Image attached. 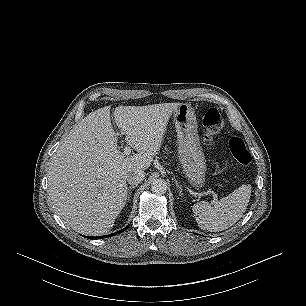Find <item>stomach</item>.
Segmentation results:
<instances>
[{"label":"stomach","mask_w":306,"mask_h":306,"mask_svg":"<svg viewBox=\"0 0 306 306\" xmlns=\"http://www.w3.org/2000/svg\"><path fill=\"white\" fill-rule=\"evenodd\" d=\"M178 157L185 176L195 187H202L205 181L206 161L200 146L197 120L189 104H181L174 112Z\"/></svg>","instance_id":"obj_1"}]
</instances>
